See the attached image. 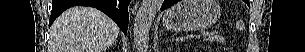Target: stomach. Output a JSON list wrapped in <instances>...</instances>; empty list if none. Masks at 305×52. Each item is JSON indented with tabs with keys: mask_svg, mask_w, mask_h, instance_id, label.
Instances as JSON below:
<instances>
[{
	"mask_svg": "<svg viewBox=\"0 0 305 52\" xmlns=\"http://www.w3.org/2000/svg\"><path fill=\"white\" fill-rule=\"evenodd\" d=\"M220 13L216 0H182L164 13L163 26L174 33L203 30L214 25Z\"/></svg>",
	"mask_w": 305,
	"mask_h": 52,
	"instance_id": "obj_1",
	"label": "stomach"
}]
</instances>
